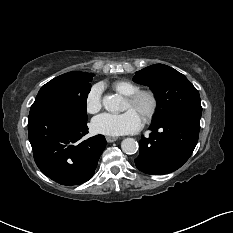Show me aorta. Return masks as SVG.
<instances>
[{
	"instance_id": "1",
	"label": "aorta",
	"mask_w": 233,
	"mask_h": 233,
	"mask_svg": "<svg viewBox=\"0 0 233 233\" xmlns=\"http://www.w3.org/2000/svg\"><path fill=\"white\" fill-rule=\"evenodd\" d=\"M103 106L110 112H118L121 110L122 98L117 95H107L103 98ZM122 151L126 154H135L138 150V143L133 138H125L121 142Z\"/></svg>"
}]
</instances>
